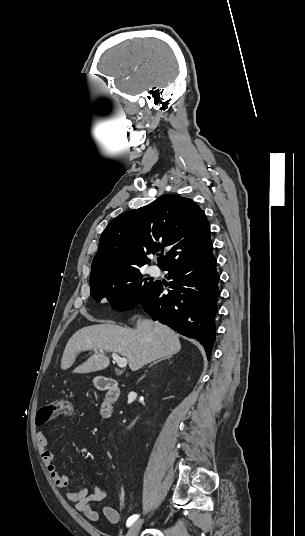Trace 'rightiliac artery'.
<instances>
[{
    "mask_svg": "<svg viewBox=\"0 0 305 536\" xmlns=\"http://www.w3.org/2000/svg\"><path fill=\"white\" fill-rule=\"evenodd\" d=\"M138 517L139 515H132L131 517L128 518L126 525L128 527L131 526L138 519Z\"/></svg>",
    "mask_w": 305,
    "mask_h": 536,
    "instance_id": "right-iliac-artery-1",
    "label": "right iliac artery"
}]
</instances>
